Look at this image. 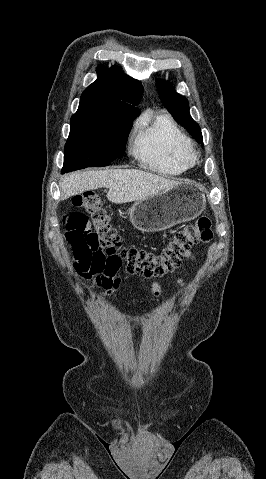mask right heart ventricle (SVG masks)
Here are the masks:
<instances>
[{
    "label": "right heart ventricle",
    "mask_w": 266,
    "mask_h": 479,
    "mask_svg": "<svg viewBox=\"0 0 266 479\" xmlns=\"http://www.w3.org/2000/svg\"><path fill=\"white\" fill-rule=\"evenodd\" d=\"M131 150L144 168L164 176L180 175L195 164L190 139L168 115L144 118Z\"/></svg>",
    "instance_id": "e07e8e85"
}]
</instances>
